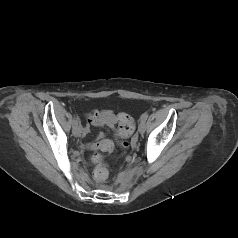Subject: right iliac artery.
Segmentation results:
<instances>
[{"label":"right iliac artery","mask_w":238,"mask_h":238,"mask_svg":"<svg viewBox=\"0 0 238 238\" xmlns=\"http://www.w3.org/2000/svg\"><path fill=\"white\" fill-rule=\"evenodd\" d=\"M78 123H79V117L76 116L74 117V120H73V126L78 125Z\"/></svg>","instance_id":"82829eb1"}]
</instances>
